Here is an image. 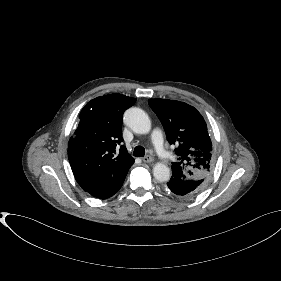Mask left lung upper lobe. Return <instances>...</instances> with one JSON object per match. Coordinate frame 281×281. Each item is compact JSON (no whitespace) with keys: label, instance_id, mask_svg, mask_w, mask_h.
I'll return each instance as SVG.
<instances>
[{"label":"left lung upper lobe","instance_id":"obj_1","mask_svg":"<svg viewBox=\"0 0 281 281\" xmlns=\"http://www.w3.org/2000/svg\"><path fill=\"white\" fill-rule=\"evenodd\" d=\"M170 144L177 145L178 161L172 163V177L181 181L210 178L215 156L207 125L191 105L167 99H149Z\"/></svg>","mask_w":281,"mask_h":281}]
</instances>
